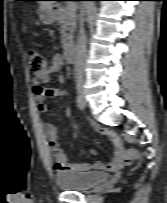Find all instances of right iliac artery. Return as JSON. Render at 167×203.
Masks as SVG:
<instances>
[{
  "instance_id": "82829eb1",
  "label": "right iliac artery",
  "mask_w": 167,
  "mask_h": 203,
  "mask_svg": "<svg viewBox=\"0 0 167 203\" xmlns=\"http://www.w3.org/2000/svg\"><path fill=\"white\" fill-rule=\"evenodd\" d=\"M76 104L79 107V109H81V110H83L85 107V103H84L83 99L81 98V96H79V95L76 97Z\"/></svg>"
}]
</instances>
